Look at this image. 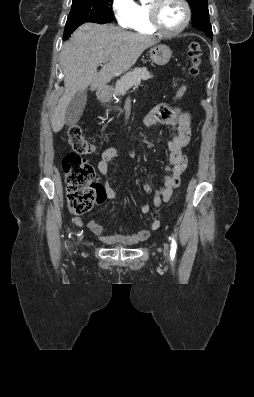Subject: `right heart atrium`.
I'll use <instances>...</instances> for the list:
<instances>
[{
  "mask_svg": "<svg viewBox=\"0 0 254 397\" xmlns=\"http://www.w3.org/2000/svg\"><path fill=\"white\" fill-rule=\"evenodd\" d=\"M111 7L118 24L130 28L135 13L134 0H112Z\"/></svg>",
  "mask_w": 254,
  "mask_h": 397,
  "instance_id": "right-heart-atrium-1",
  "label": "right heart atrium"
}]
</instances>
